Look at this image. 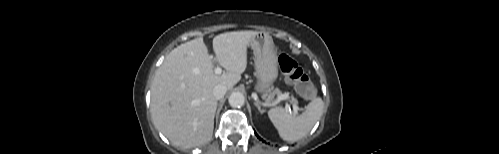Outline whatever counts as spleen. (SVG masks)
Segmentation results:
<instances>
[{
    "mask_svg": "<svg viewBox=\"0 0 499 154\" xmlns=\"http://www.w3.org/2000/svg\"><path fill=\"white\" fill-rule=\"evenodd\" d=\"M323 108L324 102L318 97L313 99L307 105L306 111L299 116L287 112L282 107H276L268 111V117L283 140L294 142L311 131L321 117Z\"/></svg>",
    "mask_w": 499,
    "mask_h": 154,
    "instance_id": "1",
    "label": "spleen"
}]
</instances>
